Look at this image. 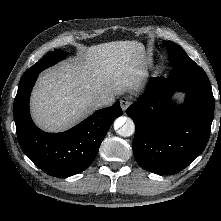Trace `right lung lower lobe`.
<instances>
[{
  "label": "right lung lower lobe",
  "mask_w": 221,
  "mask_h": 221,
  "mask_svg": "<svg viewBox=\"0 0 221 221\" xmlns=\"http://www.w3.org/2000/svg\"><path fill=\"white\" fill-rule=\"evenodd\" d=\"M40 71L21 78L14 100V118L23 152L45 173L65 177L80 173L94 161L113 121L122 115L119 101L100 109L62 133H46L33 123L29 99Z\"/></svg>",
  "instance_id": "obj_1"
}]
</instances>
